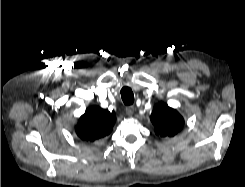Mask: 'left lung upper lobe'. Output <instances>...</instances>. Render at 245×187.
Returning <instances> with one entry per match:
<instances>
[{
	"instance_id": "obj_1",
	"label": "left lung upper lobe",
	"mask_w": 245,
	"mask_h": 187,
	"mask_svg": "<svg viewBox=\"0 0 245 187\" xmlns=\"http://www.w3.org/2000/svg\"><path fill=\"white\" fill-rule=\"evenodd\" d=\"M151 121L155 133L163 137L176 135L184 125L183 117L175 109L162 102L155 106L151 114Z\"/></svg>"
}]
</instances>
